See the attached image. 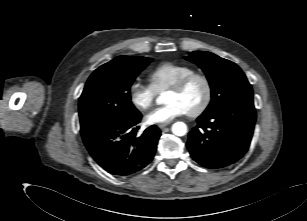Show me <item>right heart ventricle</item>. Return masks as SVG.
<instances>
[{
    "label": "right heart ventricle",
    "instance_id": "right-heart-ventricle-1",
    "mask_svg": "<svg viewBox=\"0 0 307 221\" xmlns=\"http://www.w3.org/2000/svg\"><path fill=\"white\" fill-rule=\"evenodd\" d=\"M195 72V69L183 63L163 62L149 73V81L155 92L169 88L182 77Z\"/></svg>",
    "mask_w": 307,
    "mask_h": 221
}]
</instances>
